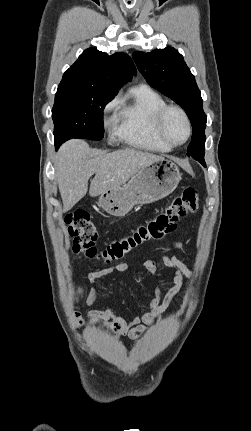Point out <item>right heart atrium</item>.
<instances>
[{
  "instance_id": "d8ad5b80",
  "label": "right heart atrium",
  "mask_w": 251,
  "mask_h": 431,
  "mask_svg": "<svg viewBox=\"0 0 251 431\" xmlns=\"http://www.w3.org/2000/svg\"><path fill=\"white\" fill-rule=\"evenodd\" d=\"M119 102L117 98H113L108 101L103 107V123L106 127H110L112 123L115 121V117L113 112L117 108Z\"/></svg>"
}]
</instances>
